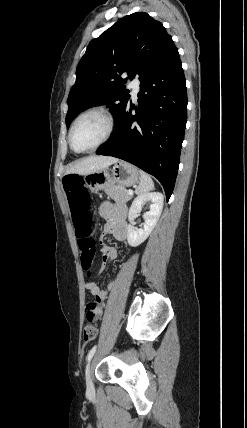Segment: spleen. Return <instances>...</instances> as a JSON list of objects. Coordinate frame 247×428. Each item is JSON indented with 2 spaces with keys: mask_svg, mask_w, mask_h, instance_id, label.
<instances>
[{
  "mask_svg": "<svg viewBox=\"0 0 247 428\" xmlns=\"http://www.w3.org/2000/svg\"><path fill=\"white\" fill-rule=\"evenodd\" d=\"M140 184L136 189L137 194L147 193L154 188V182L151 177L144 171L140 170Z\"/></svg>",
  "mask_w": 247,
  "mask_h": 428,
  "instance_id": "obj_1",
  "label": "spleen"
}]
</instances>
